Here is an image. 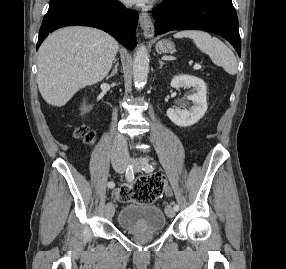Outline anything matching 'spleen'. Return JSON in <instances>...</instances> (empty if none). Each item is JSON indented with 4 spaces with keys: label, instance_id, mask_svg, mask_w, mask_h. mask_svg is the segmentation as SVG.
Wrapping results in <instances>:
<instances>
[{
    "label": "spleen",
    "instance_id": "3e777b00",
    "mask_svg": "<svg viewBox=\"0 0 286 269\" xmlns=\"http://www.w3.org/2000/svg\"><path fill=\"white\" fill-rule=\"evenodd\" d=\"M174 38H190L200 51L209 55L211 60L224 70L235 75L237 73V60L233 52L218 38L199 30H185L174 34Z\"/></svg>",
    "mask_w": 286,
    "mask_h": 269
}]
</instances>
